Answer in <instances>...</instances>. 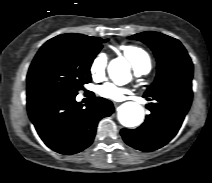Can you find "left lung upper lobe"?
I'll return each mask as SVG.
<instances>
[{
  "label": "left lung upper lobe",
  "mask_w": 212,
  "mask_h": 183,
  "mask_svg": "<svg viewBox=\"0 0 212 183\" xmlns=\"http://www.w3.org/2000/svg\"><path fill=\"white\" fill-rule=\"evenodd\" d=\"M129 38L147 44L157 59V76L145 94L171 85L191 83L193 63L177 39L153 31L138 33Z\"/></svg>",
  "instance_id": "obj_1"
}]
</instances>
